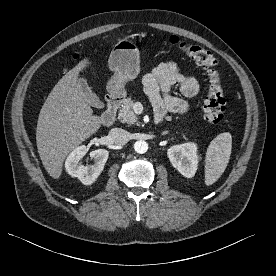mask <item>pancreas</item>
<instances>
[{
    "label": "pancreas",
    "mask_w": 276,
    "mask_h": 276,
    "mask_svg": "<svg viewBox=\"0 0 276 276\" xmlns=\"http://www.w3.org/2000/svg\"><path fill=\"white\" fill-rule=\"evenodd\" d=\"M134 100L128 97L123 100L122 107L119 110L118 118L122 123L134 124L138 118L133 111Z\"/></svg>",
    "instance_id": "1"
}]
</instances>
